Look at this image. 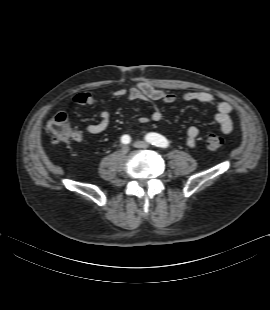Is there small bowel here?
I'll return each instance as SVG.
<instances>
[{"instance_id": "obj_1", "label": "small bowel", "mask_w": 270, "mask_h": 310, "mask_svg": "<svg viewBox=\"0 0 270 310\" xmlns=\"http://www.w3.org/2000/svg\"><path fill=\"white\" fill-rule=\"evenodd\" d=\"M111 96L114 98L127 97L130 100H141L150 103H156L161 101L165 104H172L178 100V96L172 92H166L161 89H157L147 83H139L136 87L130 89H117L111 92ZM71 100L81 106L95 105L98 100L88 91H79L71 97ZM183 101H197L200 103L214 105L217 109V113L213 117V122L219 125L221 131L224 134H230L233 130V122L231 119V113L233 106L227 101L217 100L215 96L204 91H192L187 92L181 96ZM160 122L162 120V113L158 107L154 106L149 116L139 117V122L146 124L149 121ZM111 121V113L107 110H103L99 114L98 121L93 124H89L85 127V131L89 134H99L105 131ZM79 137L76 141L83 139V134L80 131ZM199 135V129L196 126H190L186 129V143L189 147H195L196 141Z\"/></svg>"}]
</instances>
